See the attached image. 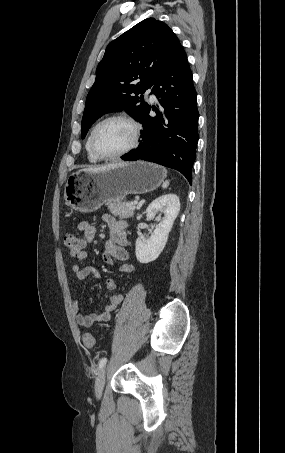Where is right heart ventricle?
Returning <instances> with one entry per match:
<instances>
[{
    "label": "right heart ventricle",
    "mask_w": 285,
    "mask_h": 453,
    "mask_svg": "<svg viewBox=\"0 0 285 453\" xmlns=\"http://www.w3.org/2000/svg\"><path fill=\"white\" fill-rule=\"evenodd\" d=\"M92 132V131H91ZM90 136H91V133L90 135L88 136L87 138V141H86V145H85V148H86V152H87V157H88V160L92 163H97L100 161L99 158H97L91 151V148H90Z\"/></svg>",
    "instance_id": "obj_1"
}]
</instances>
